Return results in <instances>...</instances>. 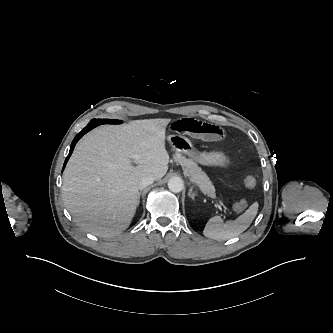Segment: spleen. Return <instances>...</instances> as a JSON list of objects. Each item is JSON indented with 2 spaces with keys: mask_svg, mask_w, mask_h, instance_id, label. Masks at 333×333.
<instances>
[{
  "mask_svg": "<svg viewBox=\"0 0 333 333\" xmlns=\"http://www.w3.org/2000/svg\"><path fill=\"white\" fill-rule=\"evenodd\" d=\"M258 212V203L254 202L242 215L234 221L222 222L220 216H214L207 222L204 236L218 241L227 240L244 232L254 220Z\"/></svg>",
  "mask_w": 333,
  "mask_h": 333,
  "instance_id": "obj_1",
  "label": "spleen"
}]
</instances>
